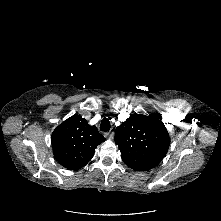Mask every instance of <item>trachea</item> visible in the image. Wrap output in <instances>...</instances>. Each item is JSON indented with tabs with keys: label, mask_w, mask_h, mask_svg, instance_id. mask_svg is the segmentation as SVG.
<instances>
[{
	"label": "trachea",
	"mask_w": 221,
	"mask_h": 221,
	"mask_svg": "<svg viewBox=\"0 0 221 221\" xmlns=\"http://www.w3.org/2000/svg\"><path fill=\"white\" fill-rule=\"evenodd\" d=\"M110 121L107 118H103L100 124V130L103 132H107L110 130Z\"/></svg>",
	"instance_id": "trachea-1"
}]
</instances>
